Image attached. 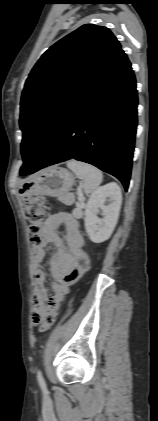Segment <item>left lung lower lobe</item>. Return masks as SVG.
Instances as JSON below:
<instances>
[{
  "label": "left lung lower lobe",
  "instance_id": "obj_1",
  "mask_svg": "<svg viewBox=\"0 0 158 421\" xmlns=\"http://www.w3.org/2000/svg\"><path fill=\"white\" fill-rule=\"evenodd\" d=\"M137 104L135 76L120 49L66 111L36 165L20 175L76 159L117 177L127 190Z\"/></svg>",
  "mask_w": 158,
  "mask_h": 421
}]
</instances>
